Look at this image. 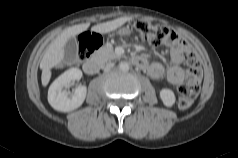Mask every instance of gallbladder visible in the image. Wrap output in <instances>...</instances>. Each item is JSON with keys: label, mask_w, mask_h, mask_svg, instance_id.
Returning <instances> with one entry per match:
<instances>
[{"label": "gallbladder", "mask_w": 238, "mask_h": 158, "mask_svg": "<svg viewBox=\"0 0 238 158\" xmlns=\"http://www.w3.org/2000/svg\"><path fill=\"white\" fill-rule=\"evenodd\" d=\"M78 59V42L77 39L71 37L64 45V62L67 65H72Z\"/></svg>", "instance_id": "gallbladder-1"}]
</instances>
